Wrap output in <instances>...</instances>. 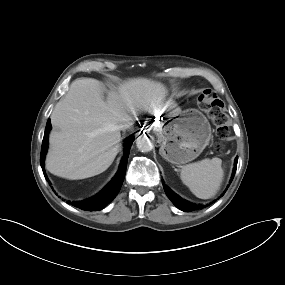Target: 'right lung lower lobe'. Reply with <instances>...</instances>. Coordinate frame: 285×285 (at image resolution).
<instances>
[{
  "label": "right lung lower lobe",
  "mask_w": 285,
  "mask_h": 285,
  "mask_svg": "<svg viewBox=\"0 0 285 285\" xmlns=\"http://www.w3.org/2000/svg\"><path fill=\"white\" fill-rule=\"evenodd\" d=\"M51 127H52L51 121L49 119L46 124L44 138H43L42 147H41V154H40V164H41L44 176L46 175L45 170H44V160H45V155H46L47 148H48V135H49V131L51 130ZM133 141H134V137H130L125 141L124 155L120 162L119 169L116 175L113 177V179L109 182V184L105 186L103 190H101L98 194H96L95 196L89 199L72 202L71 204L73 206L78 207L82 210H86V211L102 210L103 208H105V206L109 202H111L116 197L124 181L127 161L129 157V151H130ZM46 180L49 182L47 177H46Z\"/></svg>",
  "instance_id": "1"
}]
</instances>
